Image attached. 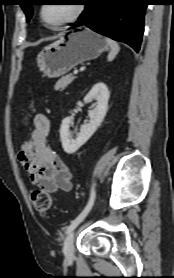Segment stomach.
<instances>
[{
  "mask_svg": "<svg viewBox=\"0 0 174 278\" xmlns=\"http://www.w3.org/2000/svg\"><path fill=\"white\" fill-rule=\"evenodd\" d=\"M107 47L101 35L81 28L46 46L37 55V65L44 76L57 78L78 64L97 58Z\"/></svg>",
  "mask_w": 174,
  "mask_h": 278,
  "instance_id": "0dacf381",
  "label": "stomach"
}]
</instances>
